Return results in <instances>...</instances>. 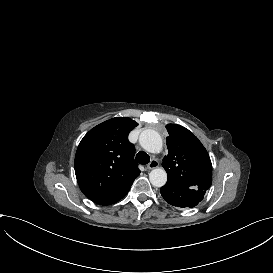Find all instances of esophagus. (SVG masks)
I'll use <instances>...</instances> for the list:
<instances>
[{"label": "esophagus", "mask_w": 273, "mask_h": 273, "mask_svg": "<svg viewBox=\"0 0 273 273\" xmlns=\"http://www.w3.org/2000/svg\"><path fill=\"white\" fill-rule=\"evenodd\" d=\"M159 166V162L156 159H152L151 162L147 165L148 169H154Z\"/></svg>", "instance_id": "34e87169"}]
</instances>
